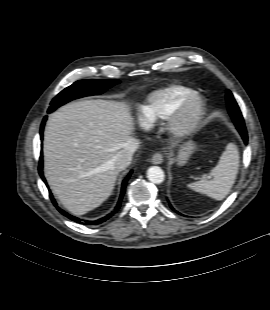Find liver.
<instances>
[{"instance_id": "obj_1", "label": "liver", "mask_w": 270, "mask_h": 310, "mask_svg": "<svg viewBox=\"0 0 270 310\" xmlns=\"http://www.w3.org/2000/svg\"><path fill=\"white\" fill-rule=\"evenodd\" d=\"M131 107L112 100L70 102L50 115L44 132V172L52 192L74 215L100 206L119 171L114 156L134 131Z\"/></svg>"}]
</instances>
